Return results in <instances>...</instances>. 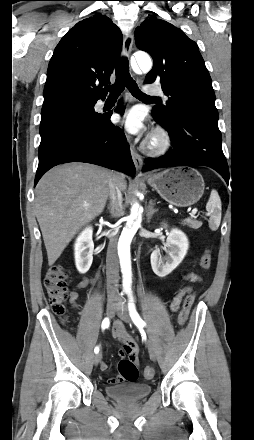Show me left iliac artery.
Wrapping results in <instances>:
<instances>
[{
    "instance_id": "44dca946",
    "label": "left iliac artery",
    "mask_w": 254,
    "mask_h": 440,
    "mask_svg": "<svg viewBox=\"0 0 254 440\" xmlns=\"http://www.w3.org/2000/svg\"><path fill=\"white\" fill-rule=\"evenodd\" d=\"M128 295L130 297L129 312H130V317H131L132 321L134 322V324L137 327H144V326H146V323L142 320V318L140 317V315L136 311L135 305L133 303V297H132L131 293H129Z\"/></svg>"
}]
</instances>
